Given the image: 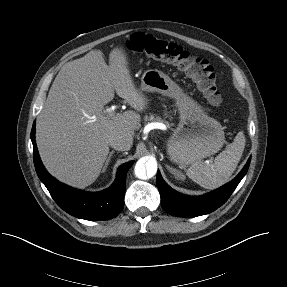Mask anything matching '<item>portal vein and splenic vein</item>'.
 Returning <instances> with one entry per match:
<instances>
[{
    "mask_svg": "<svg viewBox=\"0 0 287 287\" xmlns=\"http://www.w3.org/2000/svg\"><path fill=\"white\" fill-rule=\"evenodd\" d=\"M106 113L110 116L113 117L115 115L114 108H109L106 110Z\"/></svg>",
    "mask_w": 287,
    "mask_h": 287,
    "instance_id": "portal-vein-and-splenic-vein-1",
    "label": "portal vein and splenic vein"
}]
</instances>
